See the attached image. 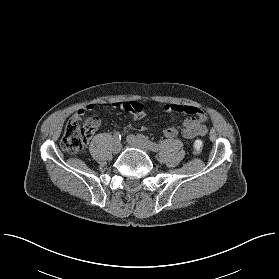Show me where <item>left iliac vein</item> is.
<instances>
[{"mask_svg": "<svg viewBox=\"0 0 279 279\" xmlns=\"http://www.w3.org/2000/svg\"><path fill=\"white\" fill-rule=\"evenodd\" d=\"M127 142L133 146V147H136V148H139L145 152H148L149 148L148 146L141 141V139L135 135H128L127 136Z\"/></svg>", "mask_w": 279, "mask_h": 279, "instance_id": "4c4485c4", "label": "left iliac vein"}]
</instances>
